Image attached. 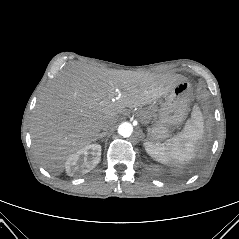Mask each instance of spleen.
<instances>
[{"instance_id":"1","label":"spleen","mask_w":239,"mask_h":239,"mask_svg":"<svg viewBox=\"0 0 239 239\" xmlns=\"http://www.w3.org/2000/svg\"><path fill=\"white\" fill-rule=\"evenodd\" d=\"M204 131L203 116L199 107L194 106L191 118L183 130L164 143L145 142L146 152L156 161L175 165L189 162L195 156L197 143Z\"/></svg>"}]
</instances>
